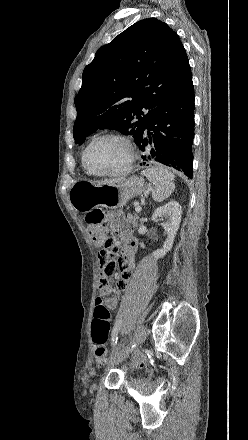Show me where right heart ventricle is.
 Masks as SVG:
<instances>
[{
  "instance_id": "1",
  "label": "right heart ventricle",
  "mask_w": 248,
  "mask_h": 440,
  "mask_svg": "<svg viewBox=\"0 0 248 440\" xmlns=\"http://www.w3.org/2000/svg\"><path fill=\"white\" fill-rule=\"evenodd\" d=\"M82 157H83V153H82ZM82 157H81V159H82ZM82 167H83V170H84L85 172H87V171L85 170L84 166H83V160H82Z\"/></svg>"
}]
</instances>
